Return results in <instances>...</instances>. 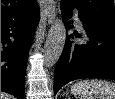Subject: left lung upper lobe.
I'll list each match as a JSON object with an SVG mask.
<instances>
[{
  "label": "left lung upper lobe",
  "instance_id": "5c2ea615",
  "mask_svg": "<svg viewBox=\"0 0 115 99\" xmlns=\"http://www.w3.org/2000/svg\"><path fill=\"white\" fill-rule=\"evenodd\" d=\"M79 12V16L94 23L115 29V7L113 0H63Z\"/></svg>",
  "mask_w": 115,
  "mask_h": 99
}]
</instances>
